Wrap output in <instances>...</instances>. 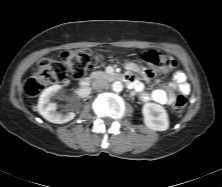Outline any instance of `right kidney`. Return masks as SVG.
Segmentation results:
<instances>
[{"label":"right kidney","instance_id":"right-kidney-1","mask_svg":"<svg viewBox=\"0 0 222 187\" xmlns=\"http://www.w3.org/2000/svg\"><path fill=\"white\" fill-rule=\"evenodd\" d=\"M61 89L60 85H53L46 88L40 95L38 101V111L39 113L49 122L56 124H63L74 119L75 113L69 112L67 114H62L58 111L56 103L52 102L51 99L58 93Z\"/></svg>","mask_w":222,"mask_h":187}]
</instances>
